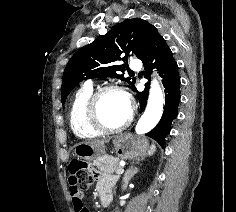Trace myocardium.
Wrapping results in <instances>:
<instances>
[{"label": "myocardium", "instance_id": "1", "mask_svg": "<svg viewBox=\"0 0 236 212\" xmlns=\"http://www.w3.org/2000/svg\"><path fill=\"white\" fill-rule=\"evenodd\" d=\"M119 92L127 100L129 111L126 120L118 127L109 128L105 126L99 115V105L101 98L108 92ZM134 117V105L128 92L117 84H108L96 89L89 99L87 105V120L89 125L101 134H116L126 130L132 123Z\"/></svg>", "mask_w": 236, "mask_h": 212}]
</instances>
